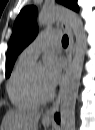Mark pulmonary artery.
<instances>
[{"mask_svg":"<svg viewBox=\"0 0 95 130\" xmlns=\"http://www.w3.org/2000/svg\"><path fill=\"white\" fill-rule=\"evenodd\" d=\"M59 41V31H43L23 50L19 58L32 63L50 44L58 43Z\"/></svg>","mask_w":95,"mask_h":130,"instance_id":"e3ab8cb5","label":"pulmonary artery"}]
</instances>
